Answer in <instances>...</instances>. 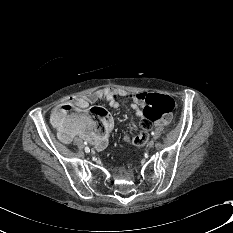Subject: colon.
Here are the masks:
<instances>
[{"mask_svg":"<svg viewBox=\"0 0 233 233\" xmlns=\"http://www.w3.org/2000/svg\"><path fill=\"white\" fill-rule=\"evenodd\" d=\"M134 105L141 112V119L139 121L141 131L135 139V143L141 145L148 139L149 130L154 123L169 120L174 108V101L167 95H151L150 93L142 92L135 97ZM73 113L74 109L71 105H61L58 113L52 116L56 128H67V120ZM95 118H98L100 121H109L112 119V116L104 108L95 107L89 112L80 113L75 119V124L86 130L98 132L99 127L95 123Z\"/></svg>","mask_w":233,"mask_h":233,"instance_id":"1","label":"colon"}]
</instances>
